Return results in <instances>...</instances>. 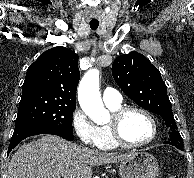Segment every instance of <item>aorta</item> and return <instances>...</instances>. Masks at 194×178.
<instances>
[{"label": "aorta", "mask_w": 194, "mask_h": 178, "mask_svg": "<svg viewBox=\"0 0 194 178\" xmlns=\"http://www.w3.org/2000/svg\"><path fill=\"white\" fill-rule=\"evenodd\" d=\"M78 100L82 110L97 124L105 122L109 112L104 108L99 92V70H88L78 87Z\"/></svg>", "instance_id": "aorta-1"}]
</instances>
